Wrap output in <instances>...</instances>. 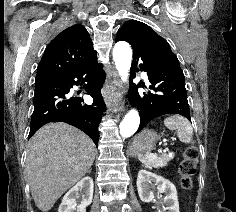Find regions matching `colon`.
<instances>
[{"instance_id":"5ec220e1","label":"colon","mask_w":236,"mask_h":212,"mask_svg":"<svg viewBox=\"0 0 236 212\" xmlns=\"http://www.w3.org/2000/svg\"><path fill=\"white\" fill-rule=\"evenodd\" d=\"M199 152L196 146L186 148L184 157L179 164L180 183L182 188L189 190L193 186V177L198 170Z\"/></svg>"}]
</instances>
